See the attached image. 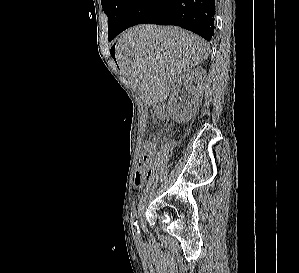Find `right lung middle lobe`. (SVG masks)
I'll list each match as a JSON object with an SVG mask.
<instances>
[{"label": "right lung middle lobe", "mask_w": 299, "mask_h": 273, "mask_svg": "<svg viewBox=\"0 0 299 273\" xmlns=\"http://www.w3.org/2000/svg\"><path fill=\"white\" fill-rule=\"evenodd\" d=\"M134 0H101L108 16V39L111 41L118 33L123 19Z\"/></svg>", "instance_id": "dd1d6c3e"}]
</instances>
